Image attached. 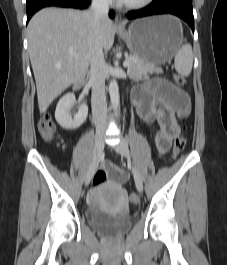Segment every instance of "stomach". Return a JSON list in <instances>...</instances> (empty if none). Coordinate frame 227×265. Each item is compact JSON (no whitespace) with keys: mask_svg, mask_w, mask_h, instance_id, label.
<instances>
[{"mask_svg":"<svg viewBox=\"0 0 227 265\" xmlns=\"http://www.w3.org/2000/svg\"><path fill=\"white\" fill-rule=\"evenodd\" d=\"M134 57L146 64L161 65L172 59L182 42L183 29L172 15L138 19L127 30L120 29Z\"/></svg>","mask_w":227,"mask_h":265,"instance_id":"1","label":"stomach"}]
</instances>
